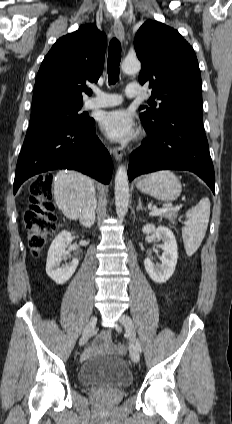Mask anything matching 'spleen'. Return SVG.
<instances>
[{
  "mask_svg": "<svg viewBox=\"0 0 232 424\" xmlns=\"http://www.w3.org/2000/svg\"><path fill=\"white\" fill-rule=\"evenodd\" d=\"M210 217V200L205 197L186 212L187 222L182 228V238L188 256H192L201 245Z\"/></svg>",
  "mask_w": 232,
  "mask_h": 424,
  "instance_id": "3e777b00",
  "label": "spleen"
}]
</instances>
